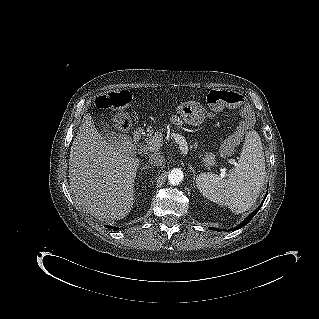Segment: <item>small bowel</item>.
<instances>
[{"label": "small bowel", "instance_id": "1", "mask_svg": "<svg viewBox=\"0 0 319 319\" xmlns=\"http://www.w3.org/2000/svg\"><path fill=\"white\" fill-rule=\"evenodd\" d=\"M172 122H173L175 125H180L181 120H180L177 116H174V117L172 118Z\"/></svg>", "mask_w": 319, "mask_h": 319}]
</instances>
